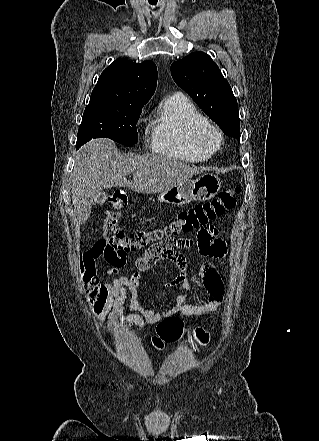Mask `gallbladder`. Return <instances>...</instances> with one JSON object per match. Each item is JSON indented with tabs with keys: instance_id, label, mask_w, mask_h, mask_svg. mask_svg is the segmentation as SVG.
I'll list each match as a JSON object with an SVG mask.
<instances>
[{
	"instance_id": "gallbladder-1",
	"label": "gallbladder",
	"mask_w": 319,
	"mask_h": 441,
	"mask_svg": "<svg viewBox=\"0 0 319 441\" xmlns=\"http://www.w3.org/2000/svg\"><path fill=\"white\" fill-rule=\"evenodd\" d=\"M106 201V193L101 191L100 193H98V195L95 198V202L97 204H103Z\"/></svg>"
}]
</instances>
